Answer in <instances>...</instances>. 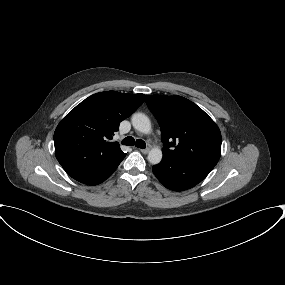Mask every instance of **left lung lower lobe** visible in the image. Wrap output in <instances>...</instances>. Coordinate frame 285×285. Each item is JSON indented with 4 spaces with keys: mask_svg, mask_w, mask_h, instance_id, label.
<instances>
[{
    "mask_svg": "<svg viewBox=\"0 0 285 285\" xmlns=\"http://www.w3.org/2000/svg\"><path fill=\"white\" fill-rule=\"evenodd\" d=\"M211 170L204 167L169 158L153 167L158 180L168 189L183 191L190 189L201 182Z\"/></svg>",
    "mask_w": 285,
    "mask_h": 285,
    "instance_id": "1",
    "label": "left lung lower lobe"
}]
</instances>
